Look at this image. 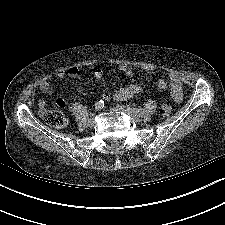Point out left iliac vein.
<instances>
[{
  "mask_svg": "<svg viewBox=\"0 0 225 225\" xmlns=\"http://www.w3.org/2000/svg\"><path fill=\"white\" fill-rule=\"evenodd\" d=\"M113 111H120L128 114L134 121H139L140 115L134 114L131 112V110L128 107L118 105L115 108L112 109Z\"/></svg>",
  "mask_w": 225,
  "mask_h": 225,
  "instance_id": "4c4485c4",
  "label": "left iliac vein"
}]
</instances>
